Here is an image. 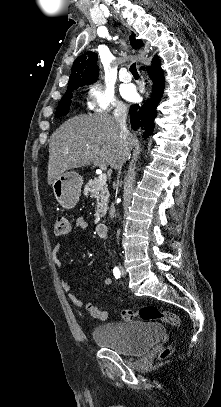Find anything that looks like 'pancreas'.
Instances as JSON below:
<instances>
[{
	"label": "pancreas",
	"mask_w": 221,
	"mask_h": 407,
	"mask_svg": "<svg viewBox=\"0 0 221 407\" xmlns=\"http://www.w3.org/2000/svg\"><path fill=\"white\" fill-rule=\"evenodd\" d=\"M83 193L85 196L90 195L92 198H95L97 205L94 214V222H100L108 209L109 192L107 184L100 186L97 178L91 179L85 185Z\"/></svg>",
	"instance_id": "1"
}]
</instances>
